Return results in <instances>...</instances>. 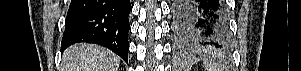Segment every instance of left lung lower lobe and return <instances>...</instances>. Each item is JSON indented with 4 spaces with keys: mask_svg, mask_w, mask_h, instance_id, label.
<instances>
[{
    "mask_svg": "<svg viewBox=\"0 0 301 71\" xmlns=\"http://www.w3.org/2000/svg\"><path fill=\"white\" fill-rule=\"evenodd\" d=\"M173 30L176 39L191 47L228 48L227 16L222 0H174Z\"/></svg>",
    "mask_w": 301,
    "mask_h": 71,
    "instance_id": "0a47b994",
    "label": "left lung lower lobe"
}]
</instances>
